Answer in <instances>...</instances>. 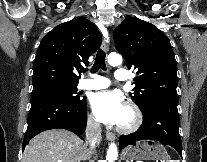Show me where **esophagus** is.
Masks as SVG:
<instances>
[{
  "label": "esophagus",
  "mask_w": 207,
  "mask_h": 162,
  "mask_svg": "<svg viewBox=\"0 0 207 162\" xmlns=\"http://www.w3.org/2000/svg\"><path fill=\"white\" fill-rule=\"evenodd\" d=\"M109 44H110V35H107L103 38V44H102V49L103 51L107 52L109 50ZM106 138L110 142L115 141V135L111 132L106 133Z\"/></svg>",
  "instance_id": "esophagus-1"
}]
</instances>
